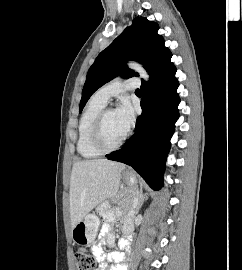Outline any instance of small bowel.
Wrapping results in <instances>:
<instances>
[{
  "mask_svg": "<svg viewBox=\"0 0 242 270\" xmlns=\"http://www.w3.org/2000/svg\"><path fill=\"white\" fill-rule=\"evenodd\" d=\"M102 216L104 224L99 233L101 243L93 245L91 247V251L100 265V270H126V257L124 253L114 251L106 254L104 252L103 246L113 247L115 245V237L112 234L111 226L119 220L121 222L122 231L124 233V237L119 241V246L121 248L128 247L131 239L130 235L132 231V223L130 219L119 218L111 211H104ZM112 262L116 264L112 267H108V264Z\"/></svg>",
  "mask_w": 242,
  "mask_h": 270,
  "instance_id": "small-bowel-1",
  "label": "small bowel"
}]
</instances>
